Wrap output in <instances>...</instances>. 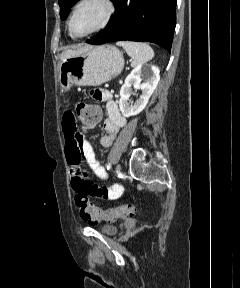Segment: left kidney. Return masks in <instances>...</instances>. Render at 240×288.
<instances>
[{
	"label": "left kidney",
	"instance_id": "1",
	"mask_svg": "<svg viewBox=\"0 0 240 288\" xmlns=\"http://www.w3.org/2000/svg\"><path fill=\"white\" fill-rule=\"evenodd\" d=\"M143 80V83H141ZM160 80V70L156 66H137L125 79V83L120 90L119 108L124 117L135 116L139 114L147 105L152 93ZM132 86L134 89H140L139 99L130 105L128 100L131 96Z\"/></svg>",
	"mask_w": 240,
	"mask_h": 288
}]
</instances>
